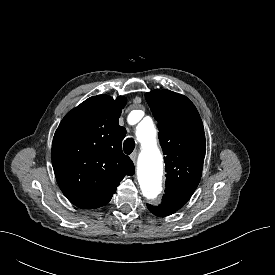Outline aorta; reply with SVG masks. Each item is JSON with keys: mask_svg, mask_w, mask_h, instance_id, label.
<instances>
[{"mask_svg": "<svg viewBox=\"0 0 275 275\" xmlns=\"http://www.w3.org/2000/svg\"><path fill=\"white\" fill-rule=\"evenodd\" d=\"M143 142L139 164V183L145 198L156 204L160 200L163 174L162 156L155 145L156 130L152 123L143 126L138 133Z\"/></svg>", "mask_w": 275, "mask_h": 275, "instance_id": "aorta-1", "label": "aorta"}]
</instances>
